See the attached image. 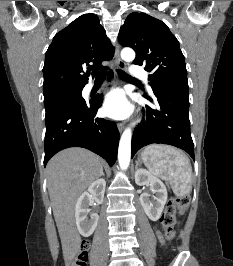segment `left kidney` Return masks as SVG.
<instances>
[{
  "label": "left kidney",
  "instance_id": "obj_1",
  "mask_svg": "<svg viewBox=\"0 0 233 266\" xmlns=\"http://www.w3.org/2000/svg\"><path fill=\"white\" fill-rule=\"evenodd\" d=\"M135 182L139 186L150 185L152 192L156 193L155 202L150 200L148 193H142L140 203L150 220H158L167 201L165 184L145 169H138L135 172Z\"/></svg>",
  "mask_w": 233,
  "mask_h": 266
}]
</instances>
